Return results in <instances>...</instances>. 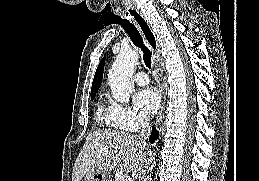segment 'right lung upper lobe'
I'll return each instance as SVG.
<instances>
[{"mask_svg":"<svg viewBox=\"0 0 259 181\" xmlns=\"http://www.w3.org/2000/svg\"><path fill=\"white\" fill-rule=\"evenodd\" d=\"M104 63H105V57L101 60V62L99 63V65L97 67V70H96V73H95V76L93 79V83H92L91 97L96 96V93L102 82Z\"/></svg>","mask_w":259,"mask_h":181,"instance_id":"1","label":"right lung upper lobe"}]
</instances>
